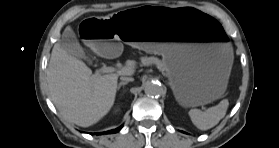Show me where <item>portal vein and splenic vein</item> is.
I'll return each instance as SVG.
<instances>
[{
    "label": "portal vein and splenic vein",
    "mask_w": 279,
    "mask_h": 148,
    "mask_svg": "<svg viewBox=\"0 0 279 148\" xmlns=\"http://www.w3.org/2000/svg\"><path fill=\"white\" fill-rule=\"evenodd\" d=\"M116 71H118L116 68H114V67H107V66H103L100 69L101 73H112V72H116ZM201 109L202 110H206V108L204 106H201Z\"/></svg>",
    "instance_id": "obj_1"
}]
</instances>
